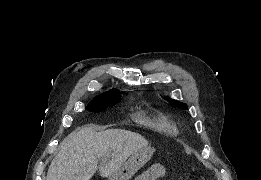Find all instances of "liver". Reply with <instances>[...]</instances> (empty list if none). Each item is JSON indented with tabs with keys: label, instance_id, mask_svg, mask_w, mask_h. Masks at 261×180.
Instances as JSON below:
<instances>
[{
	"label": "liver",
	"instance_id": "6515ba94",
	"mask_svg": "<svg viewBox=\"0 0 261 180\" xmlns=\"http://www.w3.org/2000/svg\"><path fill=\"white\" fill-rule=\"evenodd\" d=\"M141 134L128 130L97 132L93 124L75 130L52 160L46 180H91L96 170L102 178L114 174L129 156L147 148Z\"/></svg>",
	"mask_w": 261,
	"mask_h": 180
}]
</instances>
